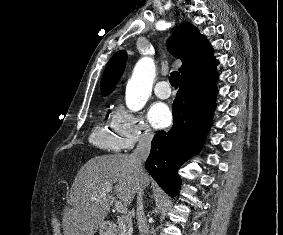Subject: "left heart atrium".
<instances>
[{
	"label": "left heart atrium",
	"instance_id": "39dd6f15",
	"mask_svg": "<svg viewBox=\"0 0 283 235\" xmlns=\"http://www.w3.org/2000/svg\"><path fill=\"white\" fill-rule=\"evenodd\" d=\"M148 119L155 128L167 127L172 120L171 112L167 105L156 103L148 111Z\"/></svg>",
	"mask_w": 283,
	"mask_h": 235
}]
</instances>
